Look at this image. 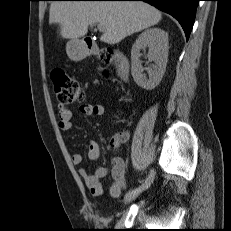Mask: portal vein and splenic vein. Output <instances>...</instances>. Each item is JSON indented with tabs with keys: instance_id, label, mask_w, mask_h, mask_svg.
I'll list each match as a JSON object with an SVG mask.
<instances>
[{
	"instance_id": "18ae733b",
	"label": "portal vein and splenic vein",
	"mask_w": 231,
	"mask_h": 231,
	"mask_svg": "<svg viewBox=\"0 0 231 231\" xmlns=\"http://www.w3.org/2000/svg\"><path fill=\"white\" fill-rule=\"evenodd\" d=\"M97 27H98L99 31H101V32L104 31V27L102 24H98Z\"/></svg>"
}]
</instances>
